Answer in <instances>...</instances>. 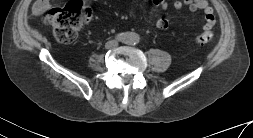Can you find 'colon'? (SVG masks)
<instances>
[{"instance_id": "1", "label": "colon", "mask_w": 253, "mask_h": 138, "mask_svg": "<svg viewBox=\"0 0 253 138\" xmlns=\"http://www.w3.org/2000/svg\"><path fill=\"white\" fill-rule=\"evenodd\" d=\"M91 8L81 0H72L63 7L53 8L47 11L44 22L53 26L54 37L62 43L71 42L79 29L84 26L91 18ZM213 39L211 30H205L195 37V43L206 45Z\"/></svg>"}]
</instances>
